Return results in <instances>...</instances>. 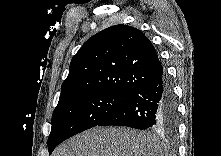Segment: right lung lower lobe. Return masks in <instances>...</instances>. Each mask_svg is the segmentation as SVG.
<instances>
[{"label":"right lung lower lobe","mask_w":221,"mask_h":156,"mask_svg":"<svg viewBox=\"0 0 221 156\" xmlns=\"http://www.w3.org/2000/svg\"><path fill=\"white\" fill-rule=\"evenodd\" d=\"M177 122L175 96L169 78L163 72L145 83L98 126L118 125L174 132Z\"/></svg>","instance_id":"obj_1"}]
</instances>
